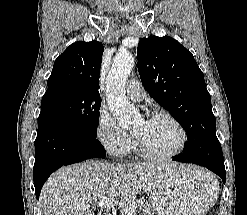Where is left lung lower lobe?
I'll use <instances>...</instances> for the list:
<instances>
[{
	"label": "left lung lower lobe",
	"instance_id": "1",
	"mask_svg": "<svg viewBox=\"0 0 247 215\" xmlns=\"http://www.w3.org/2000/svg\"><path fill=\"white\" fill-rule=\"evenodd\" d=\"M194 152H184L174 157V161L183 163H194L204 166L218 174L225 183L226 171L221 145L217 138L199 139L196 141Z\"/></svg>",
	"mask_w": 247,
	"mask_h": 215
}]
</instances>
